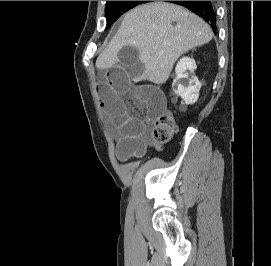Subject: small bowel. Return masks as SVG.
Wrapping results in <instances>:
<instances>
[{"mask_svg": "<svg viewBox=\"0 0 271 266\" xmlns=\"http://www.w3.org/2000/svg\"><path fill=\"white\" fill-rule=\"evenodd\" d=\"M142 72L140 62L127 56L120 63L106 67L98 85L101 107L116 130L120 160L142 155L148 142L145 122L128 113L125 98L136 109H144L150 117L166 106V98L160 89L135 82Z\"/></svg>", "mask_w": 271, "mask_h": 266, "instance_id": "small-bowel-1", "label": "small bowel"}]
</instances>
